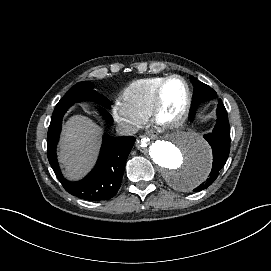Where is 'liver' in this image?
Wrapping results in <instances>:
<instances>
[{
	"mask_svg": "<svg viewBox=\"0 0 271 271\" xmlns=\"http://www.w3.org/2000/svg\"><path fill=\"white\" fill-rule=\"evenodd\" d=\"M99 135V128L85 117L75 116L66 123L60 156L69 177H80L91 165Z\"/></svg>",
	"mask_w": 271,
	"mask_h": 271,
	"instance_id": "1",
	"label": "liver"
}]
</instances>
